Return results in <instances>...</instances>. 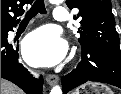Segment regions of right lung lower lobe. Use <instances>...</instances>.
Segmentation results:
<instances>
[{"instance_id": "obj_1", "label": "right lung lower lobe", "mask_w": 121, "mask_h": 94, "mask_svg": "<svg viewBox=\"0 0 121 94\" xmlns=\"http://www.w3.org/2000/svg\"><path fill=\"white\" fill-rule=\"evenodd\" d=\"M17 24L1 29V78L18 85L27 94H41L43 78H34L18 61V48L8 43V32Z\"/></svg>"}]
</instances>
